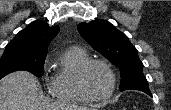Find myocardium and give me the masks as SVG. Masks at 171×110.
Listing matches in <instances>:
<instances>
[{
    "mask_svg": "<svg viewBox=\"0 0 171 110\" xmlns=\"http://www.w3.org/2000/svg\"><path fill=\"white\" fill-rule=\"evenodd\" d=\"M94 65H102L104 66L110 76H111V88L110 90L101 96H95L93 95L87 85H86V76L88 71L90 70V68ZM77 84H78V88L80 90V92L90 101H105L110 99L116 90V86H117V77H116V73L113 69V67L105 60H101V59H94V60H89L87 63H85L82 68L80 69L79 73H78V77H77Z\"/></svg>",
    "mask_w": 171,
    "mask_h": 110,
    "instance_id": "1",
    "label": "myocardium"
}]
</instances>
